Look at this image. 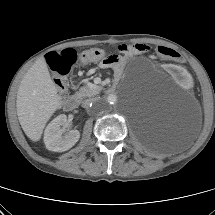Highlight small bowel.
Masks as SVG:
<instances>
[{"label": "small bowel", "instance_id": "1", "mask_svg": "<svg viewBox=\"0 0 215 215\" xmlns=\"http://www.w3.org/2000/svg\"><path fill=\"white\" fill-rule=\"evenodd\" d=\"M126 45V44H123ZM134 47L128 46L126 52H120L121 56L112 55L101 62L103 67H112L116 75H120L128 58L133 55H144L150 52V47L145 44H134Z\"/></svg>", "mask_w": 215, "mask_h": 215}]
</instances>
